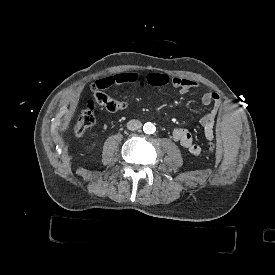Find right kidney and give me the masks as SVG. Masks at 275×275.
<instances>
[{
    "label": "right kidney",
    "instance_id": "1",
    "mask_svg": "<svg viewBox=\"0 0 275 275\" xmlns=\"http://www.w3.org/2000/svg\"><path fill=\"white\" fill-rule=\"evenodd\" d=\"M96 148V142L93 141L87 148L88 152H92Z\"/></svg>",
    "mask_w": 275,
    "mask_h": 275
}]
</instances>
